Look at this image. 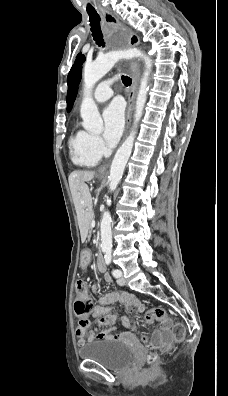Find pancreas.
Segmentation results:
<instances>
[{"instance_id": "obj_1", "label": "pancreas", "mask_w": 228, "mask_h": 396, "mask_svg": "<svg viewBox=\"0 0 228 396\" xmlns=\"http://www.w3.org/2000/svg\"><path fill=\"white\" fill-rule=\"evenodd\" d=\"M91 218H92V219H95V218H96V215H95V214H92V215H91ZM89 229H90V230H89V233H88V234H89V235H88V236H89L88 240L90 241V240H91V237H92L90 234H91V231H92L93 228L90 227Z\"/></svg>"}]
</instances>
